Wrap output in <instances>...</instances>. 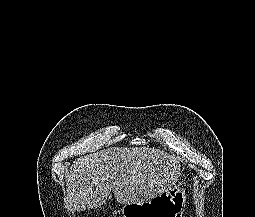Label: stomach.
Instances as JSON below:
<instances>
[{"label":"stomach","mask_w":255,"mask_h":217,"mask_svg":"<svg viewBox=\"0 0 255 217\" xmlns=\"http://www.w3.org/2000/svg\"><path fill=\"white\" fill-rule=\"evenodd\" d=\"M186 197L183 188L174 186L146 202L125 204L121 212L123 217H182Z\"/></svg>","instance_id":"1"}]
</instances>
